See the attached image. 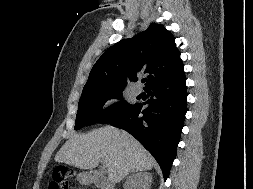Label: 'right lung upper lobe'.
<instances>
[{
    "label": "right lung upper lobe",
    "instance_id": "obj_1",
    "mask_svg": "<svg viewBox=\"0 0 253 189\" xmlns=\"http://www.w3.org/2000/svg\"><path fill=\"white\" fill-rule=\"evenodd\" d=\"M174 36L160 24L123 39L108 48L93 66L83 91L101 87H125L148 73L146 87L184 74Z\"/></svg>",
    "mask_w": 253,
    "mask_h": 189
}]
</instances>
